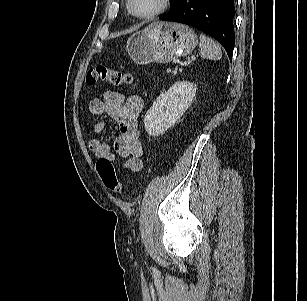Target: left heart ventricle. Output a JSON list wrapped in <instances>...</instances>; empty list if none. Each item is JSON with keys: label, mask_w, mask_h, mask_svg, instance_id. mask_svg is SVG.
<instances>
[{"label": "left heart ventricle", "mask_w": 307, "mask_h": 301, "mask_svg": "<svg viewBox=\"0 0 307 301\" xmlns=\"http://www.w3.org/2000/svg\"><path fill=\"white\" fill-rule=\"evenodd\" d=\"M162 0H132L133 9L139 14H148L155 11Z\"/></svg>", "instance_id": "b2bd125f"}]
</instances>
